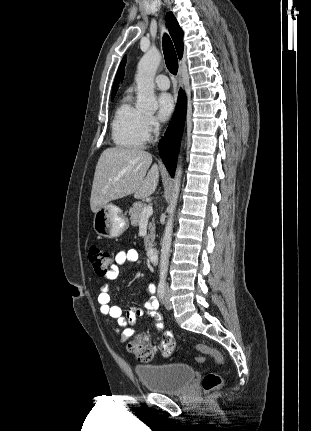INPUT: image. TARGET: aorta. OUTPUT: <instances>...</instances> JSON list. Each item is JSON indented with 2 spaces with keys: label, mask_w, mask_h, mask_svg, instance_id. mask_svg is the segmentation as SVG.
I'll list each match as a JSON object with an SVG mask.
<instances>
[{
  "label": "aorta",
  "mask_w": 311,
  "mask_h": 431,
  "mask_svg": "<svg viewBox=\"0 0 311 431\" xmlns=\"http://www.w3.org/2000/svg\"><path fill=\"white\" fill-rule=\"evenodd\" d=\"M162 56L159 50L156 48H151L143 58H141L137 66V74H135V82L137 84V102L135 104L136 108H145L149 112H155L158 108L157 100L154 94V78L160 66ZM182 160H179L178 166L176 168L174 180H173V192L170 198L169 206L167 212L169 217L166 221L161 251H160V283H164L167 275L170 247L172 243V231H173V219L179 198V192L181 188V178H182Z\"/></svg>",
  "instance_id": "762f6f07"
}]
</instances>
